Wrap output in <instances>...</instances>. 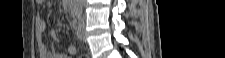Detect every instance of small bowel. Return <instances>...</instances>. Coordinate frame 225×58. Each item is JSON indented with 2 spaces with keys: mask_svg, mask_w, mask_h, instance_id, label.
I'll return each instance as SVG.
<instances>
[{
  "mask_svg": "<svg viewBox=\"0 0 225 58\" xmlns=\"http://www.w3.org/2000/svg\"><path fill=\"white\" fill-rule=\"evenodd\" d=\"M42 2L43 0H38V3H42ZM36 25H37V31L39 32V34H43L47 29L46 22L41 18L37 19ZM50 34L55 42L60 43V39L57 37L56 31L54 29L50 31ZM65 48L69 55L75 56L77 54V48L74 45H71V44L65 45ZM39 52L42 58H69L65 54L58 53L55 49L48 51L43 43L39 44Z\"/></svg>",
  "mask_w": 225,
  "mask_h": 58,
  "instance_id": "obj_1",
  "label": "small bowel"
}]
</instances>
